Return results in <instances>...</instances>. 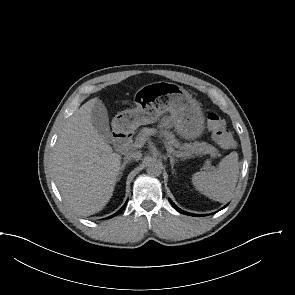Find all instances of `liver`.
I'll list each match as a JSON object with an SVG mask.
<instances>
[{
  "mask_svg": "<svg viewBox=\"0 0 295 295\" xmlns=\"http://www.w3.org/2000/svg\"><path fill=\"white\" fill-rule=\"evenodd\" d=\"M98 98L83 104L67 120L52 155L55 183L78 215L101 211L113 195L121 156L98 134L91 112Z\"/></svg>",
  "mask_w": 295,
  "mask_h": 295,
  "instance_id": "liver-1",
  "label": "liver"
}]
</instances>
